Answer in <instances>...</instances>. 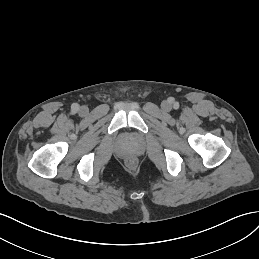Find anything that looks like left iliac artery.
Instances as JSON below:
<instances>
[{"label":"left iliac artery","mask_w":259,"mask_h":259,"mask_svg":"<svg viewBox=\"0 0 259 259\" xmlns=\"http://www.w3.org/2000/svg\"><path fill=\"white\" fill-rule=\"evenodd\" d=\"M179 107L178 103H175L174 108L177 109Z\"/></svg>","instance_id":"1"}]
</instances>
